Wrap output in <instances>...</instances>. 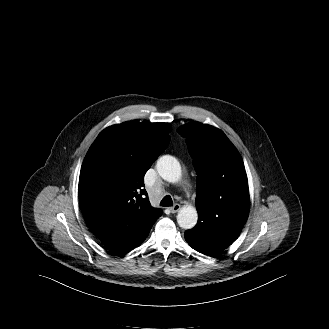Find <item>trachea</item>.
Instances as JSON below:
<instances>
[{"mask_svg":"<svg viewBox=\"0 0 329 329\" xmlns=\"http://www.w3.org/2000/svg\"><path fill=\"white\" fill-rule=\"evenodd\" d=\"M161 206L169 207L173 205L172 198L169 195H166L160 202Z\"/></svg>","mask_w":329,"mask_h":329,"instance_id":"3493384b","label":"trachea"}]
</instances>
